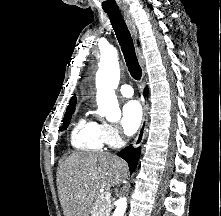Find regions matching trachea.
Wrapping results in <instances>:
<instances>
[{"label": "trachea", "instance_id": "trachea-1", "mask_svg": "<svg viewBox=\"0 0 221 216\" xmlns=\"http://www.w3.org/2000/svg\"><path fill=\"white\" fill-rule=\"evenodd\" d=\"M111 21L118 42L121 46L128 70L135 80H140L142 70L139 65L133 40L128 30V27L118 10L105 11Z\"/></svg>", "mask_w": 221, "mask_h": 216}]
</instances>
